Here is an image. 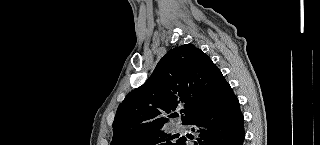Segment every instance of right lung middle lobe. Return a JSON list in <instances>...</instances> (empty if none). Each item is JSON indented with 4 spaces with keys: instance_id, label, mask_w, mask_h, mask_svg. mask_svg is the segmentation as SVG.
Instances as JSON below:
<instances>
[{
    "instance_id": "right-lung-middle-lobe-1",
    "label": "right lung middle lobe",
    "mask_w": 320,
    "mask_h": 145,
    "mask_svg": "<svg viewBox=\"0 0 320 145\" xmlns=\"http://www.w3.org/2000/svg\"><path fill=\"white\" fill-rule=\"evenodd\" d=\"M177 136L165 133L163 130L152 132L138 141L134 142L132 145H178L180 142V138L176 141H171Z\"/></svg>"
}]
</instances>
